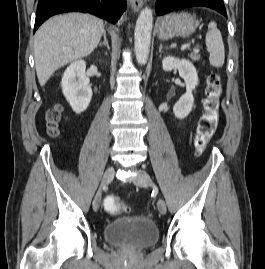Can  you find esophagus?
Masks as SVG:
<instances>
[{
  "label": "esophagus",
  "instance_id": "obj_1",
  "mask_svg": "<svg viewBox=\"0 0 265 269\" xmlns=\"http://www.w3.org/2000/svg\"><path fill=\"white\" fill-rule=\"evenodd\" d=\"M129 4L133 11H139L143 6V0H129Z\"/></svg>",
  "mask_w": 265,
  "mask_h": 269
}]
</instances>
